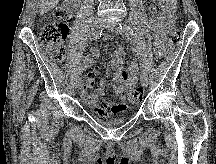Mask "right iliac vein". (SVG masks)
Wrapping results in <instances>:
<instances>
[{"label": "right iliac vein", "mask_w": 216, "mask_h": 164, "mask_svg": "<svg viewBox=\"0 0 216 164\" xmlns=\"http://www.w3.org/2000/svg\"><path fill=\"white\" fill-rule=\"evenodd\" d=\"M94 28L96 30L100 29L102 26H103V21L102 19L100 18H96L95 21H94ZM81 74V73H80ZM80 80H81V75L79 77H77L75 75V78H74V86L75 88L77 89L79 87V84H80Z\"/></svg>", "instance_id": "63e3f726"}]
</instances>
